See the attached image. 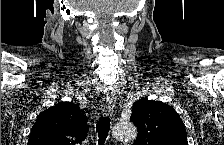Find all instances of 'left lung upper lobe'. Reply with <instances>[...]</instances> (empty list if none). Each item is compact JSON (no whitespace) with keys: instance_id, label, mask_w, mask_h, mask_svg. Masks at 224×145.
Returning <instances> with one entry per match:
<instances>
[{"instance_id":"left-lung-upper-lobe-1","label":"left lung upper lobe","mask_w":224,"mask_h":145,"mask_svg":"<svg viewBox=\"0 0 224 145\" xmlns=\"http://www.w3.org/2000/svg\"><path fill=\"white\" fill-rule=\"evenodd\" d=\"M130 119L138 130L136 145H188L183 121L163 102L147 98L134 102Z\"/></svg>"}]
</instances>
